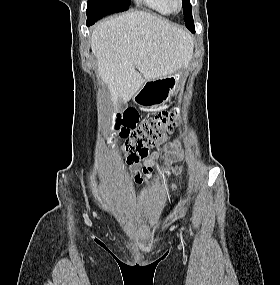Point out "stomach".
<instances>
[{"mask_svg":"<svg viewBox=\"0 0 280 285\" xmlns=\"http://www.w3.org/2000/svg\"><path fill=\"white\" fill-rule=\"evenodd\" d=\"M184 73V67L172 75L147 81L135 93L133 100L142 106H158L167 102L174 94Z\"/></svg>","mask_w":280,"mask_h":285,"instance_id":"1","label":"stomach"}]
</instances>
